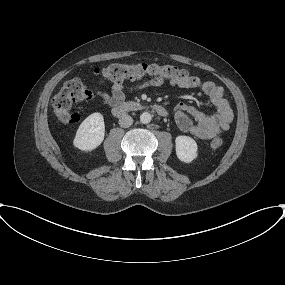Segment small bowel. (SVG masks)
I'll use <instances>...</instances> for the list:
<instances>
[{"label":"small bowel","mask_w":285,"mask_h":285,"mask_svg":"<svg viewBox=\"0 0 285 285\" xmlns=\"http://www.w3.org/2000/svg\"><path fill=\"white\" fill-rule=\"evenodd\" d=\"M163 83L164 80L161 79H149L130 86H125L123 82H114L110 93L97 89V95L103 103L117 106L122 103L127 91H136L149 86H160ZM170 83L181 88H199L209 98L216 111L212 115H207L200 109L186 103L177 104L174 109L175 122L181 131L208 140L228 130L233 120V112L222 87L216 85L213 81H202L195 76L170 81Z\"/></svg>","instance_id":"obj_1"}]
</instances>
